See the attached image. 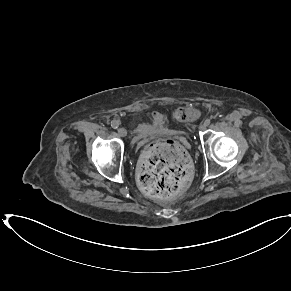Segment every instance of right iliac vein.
Instances as JSON below:
<instances>
[{"instance_id": "right-iliac-vein-1", "label": "right iliac vein", "mask_w": 291, "mask_h": 291, "mask_svg": "<svg viewBox=\"0 0 291 291\" xmlns=\"http://www.w3.org/2000/svg\"><path fill=\"white\" fill-rule=\"evenodd\" d=\"M117 132L121 137H125L127 135V130L124 127H120Z\"/></svg>"}]
</instances>
